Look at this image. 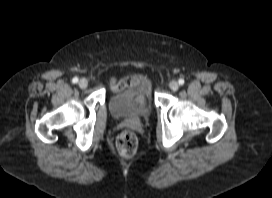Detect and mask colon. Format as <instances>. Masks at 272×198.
<instances>
[{"label":"colon","mask_w":272,"mask_h":198,"mask_svg":"<svg viewBox=\"0 0 272 198\" xmlns=\"http://www.w3.org/2000/svg\"><path fill=\"white\" fill-rule=\"evenodd\" d=\"M115 145L122 158H131L137 151L138 140L134 132L124 130L117 136Z\"/></svg>","instance_id":"1"}]
</instances>
